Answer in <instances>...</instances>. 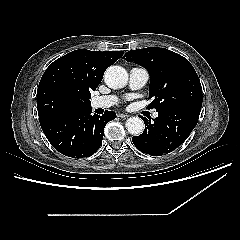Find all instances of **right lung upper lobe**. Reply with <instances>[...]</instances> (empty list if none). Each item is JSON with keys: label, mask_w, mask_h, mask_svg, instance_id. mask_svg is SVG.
I'll return each mask as SVG.
<instances>
[{"label": "right lung upper lobe", "mask_w": 240, "mask_h": 240, "mask_svg": "<svg viewBox=\"0 0 240 240\" xmlns=\"http://www.w3.org/2000/svg\"><path fill=\"white\" fill-rule=\"evenodd\" d=\"M122 55V51L80 49L50 64L37 90L41 127L73 111L91 108L90 92L99 85L105 70Z\"/></svg>", "instance_id": "1"}]
</instances>
